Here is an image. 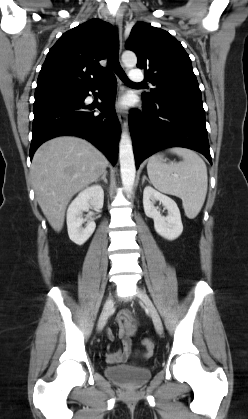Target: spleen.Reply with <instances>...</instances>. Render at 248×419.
<instances>
[{
    "label": "spleen",
    "mask_w": 248,
    "mask_h": 419,
    "mask_svg": "<svg viewBox=\"0 0 248 419\" xmlns=\"http://www.w3.org/2000/svg\"><path fill=\"white\" fill-rule=\"evenodd\" d=\"M171 153L182 157L178 163L163 164L153 156L147 164L151 184L159 191L182 199L189 219L200 212L207 194V167L193 150L181 147L170 148Z\"/></svg>",
    "instance_id": "obj_1"
}]
</instances>
